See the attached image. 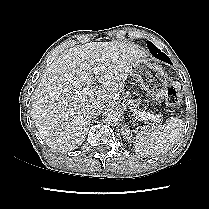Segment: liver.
Here are the masks:
<instances>
[{
	"instance_id": "liver-1",
	"label": "liver",
	"mask_w": 209,
	"mask_h": 209,
	"mask_svg": "<svg viewBox=\"0 0 209 209\" xmlns=\"http://www.w3.org/2000/svg\"><path fill=\"white\" fill-rule=\"evenodd\" d=\"M145 53L126 42H90L69 49L46 70L35 91L32 119L52 149L68 152L85 140L90 110L119 98L131 64ZM93 81L99 85L90 86ZM86 86L87 93L78 95Z\"/></svg>"
}]
</instances>
